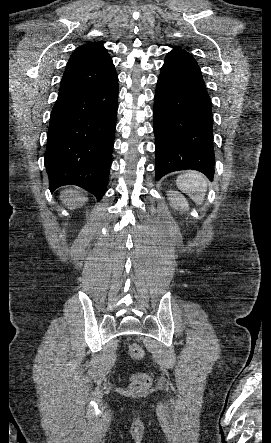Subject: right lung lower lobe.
I'll return each mask as SVG.
<instances>
[{"mask_svg":"<svg viewBox=\"0 0 271 443\" xmlns=\"http://www.w3.org/2000/svg\"><path fill=\"white\" fill-rule=\"evenodd\" d=\"M118 77L61 92L53 107L45 166L49 189L74 184L99 201L106 192L118 103Z\"/></svg>","mask_w":271,"mask_h":443,"instance_id":"obj_1","label":"right lung lower lobe"}]
</instances>
